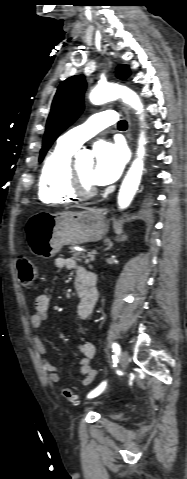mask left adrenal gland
I'll return each instance as SVG.
<instances>
[{
    "label": "left adrenal gland",
    "instance_id": "obj_1",
    "mask_svg": "<svg viewBox=\"0 0 187 479\" xmlns=\"http://www.w3.org/2000/svg\"><path fill=\"white\" fill-rule=\"evenodd\" d=\"M105 242L107 243V247H106L105 250H106V251H107V250H110V249L113 247V243L111 242V240H110L109 238H107V239L105 240Z\"/></svg>",
    "mask_w": 187,
    "mask_h": 479
}]
</instances>
